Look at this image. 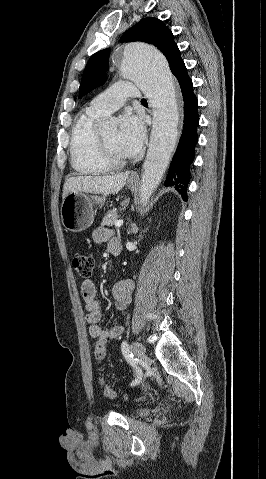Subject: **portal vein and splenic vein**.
Masks as SVG:
<instances>
[{"mask_svg": "<svg viewBox=\"0 0 266 479\" xmlns=\"http://www.w3.org/2000/svg\"><path fill=\"white\" fill-rule=\"evenodd\" d=\"M115 227L119 228L120 226L123 225V220H118L114 223Z\"/></svg>", "mask_w": 266, "mask_h": 479, "instance_id": "1", "label": "portal vein and splenic vein"}]
</instances>
